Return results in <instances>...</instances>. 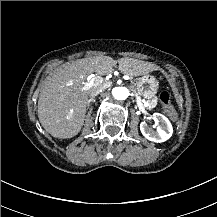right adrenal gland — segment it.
Segmentation results:
<instances>
[{
    "instance_id": "right-adrenal-gland-1",
    "label": "right adrenal gland",
    "mask_w": 217,
    "mask_h": 217,
    "mask_svg": "<svg viewBox=\"0 0 217 217\" xmlns=\"http://www.w3.org/2000/svg\"><path fill=\"white\" fill-rule=\"evenodd\" d=\"M91 102H95V98H94V97L90 98V99L87 101V108H89Z\"/></svg>"
}]
</instances>
